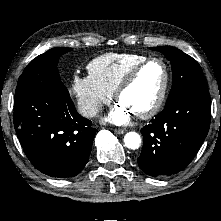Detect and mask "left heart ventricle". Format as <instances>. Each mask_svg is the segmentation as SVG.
Listing matches in <instances>:
<instances>
[{
    "instance_id": "b2bd125f",
    "label": "left heart ventricle",
    "mask_w": 221,
    "mask_h": 221,
    "mask_svg": "<svg viewBox=\"0 0 221 221\" xmlns=\"http://www.w3.org/2000/svg\"><path fill=\"white\" fill-rule=\"evenodd\" d=\"M164 80L161 64L153 62L144 67L131 86L119 98L133 114L147 110L155 102Z\"/></svg>"
}]
</instances>
